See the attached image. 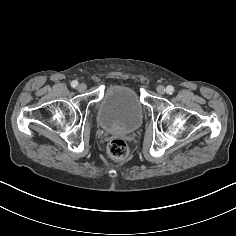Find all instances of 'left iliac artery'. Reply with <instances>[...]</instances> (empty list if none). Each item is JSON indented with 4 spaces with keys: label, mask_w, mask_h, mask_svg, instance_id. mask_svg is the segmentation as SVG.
Masks as SVG:
<instances>
[{
    "label": "left iliac artery",
    "mask_w": 236,
    "mask_h": 236,
    "mask_svg": "<svg viewBox=\"0 0 236 236\" xmlns=\"http://www.w3.org/2000/svg\"><path fill=\"white\" fill-rule=\"evenodd\" d=\"M166 92H167V94H172L173 92H174V87L173 86H171V85H168L167 87H166Z\"/></svg>",
    "instance_id": "left-iliac-artery-1"
}]
</instances>
